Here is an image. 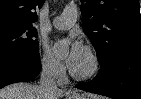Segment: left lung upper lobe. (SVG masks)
Returning <instances> with one entry per match:
<instances>
[{"label":"left lung upper lobe","instance_id":"1","mask_svg":"<svg viewBox=\"0 0 141 99\" xmlns=\"http://www.w3.org/2000/svg\"><path fill=\"white\" fill-rule=\"evenodd\" d=\"M81 13L101 64L119 52H141L138 0H81Z\"/></svg>","mask_w":141,"mask_h":99}]
</instances>
